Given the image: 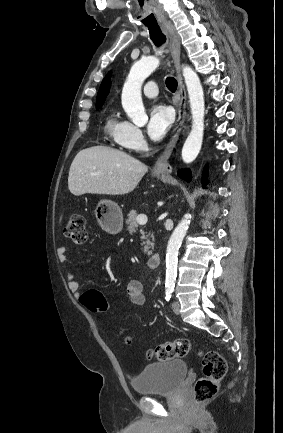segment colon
Masks as SVG:
<instances>
[{"label":"colon","instance_id":"1","mask_svg":"<svg viewBox=\"0 0 283 433\" xmlns=\"http://www.w3.org/2000/svg\"><path fill=\"white\" fill-rule=\"evenodd\" d=\"M64 234L77 245L84 244L87 240L86 219L81 213L70 215L65 227ZM80 302L88 310L96 314L105 313L108 309L106 298L97 290H89L80 297ZM124 343L131 344V338L125 337ZM193 350L191 340L178 338L157 345L147 351L149 358L159 361H167L175 358L188 356ZM202 360L203 377L200 378L194 388V399L197 403L210 400L219 390L221 380L227 372V362L224 357L216 351L200 353Z\"/></svg>","mask_w":283,"mask_h":433}]
</instances>
